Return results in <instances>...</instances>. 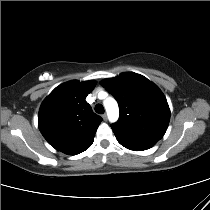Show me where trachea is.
<instances>
[{"mask_svg": "<svg viewBox=\"0 0 210 210\" xmlns=\"http://www.w3.org/2000/svg\"><path fill=\"white\" fill-rule=\"evenodd\" d=\"M95 112L98 114H103L104 113V107L101 104H97L95 106Z\"/></svg>", "mask_w": 210, "mask_h": 210, "instance_id": "trachea-1", "label": "trachea"}]
</instances>
